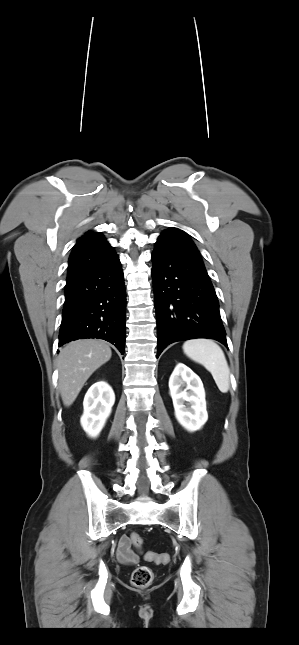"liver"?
<instances>
[{"label":"liver","instance_id":"6515ba94","mask_svg":"<svg viewBox=\"0 0 299 645\" xmlns=\"http://www.w3.org/2000/svg\"><path fill=\"white\" fill-rule=\"evenodd\" d=\"M112 355L108 344L101 340L72 341L60 350L57 367L58 385L63 404H73L88 378Z\"/></svg>","mask_w":299,"mask_h":645}]
</instances>
